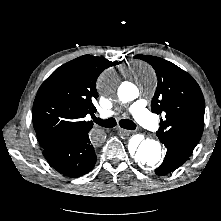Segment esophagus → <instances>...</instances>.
<instances>
[{
    "label": "esophagus",
    "instance_id": "34e87169",
    "mask_svg": "<svg viewBox=\"0 0 221 221\" xmlns=\"http://www.w3.org/2000/svg\"><path fill=\"white\" fill-rule=\"evenodd\" d=\"M119 130H120L122 133L126 134V135L131 134V131H130V130H125V129H122V128H119Z\"/></svg>",
    "mask_w": 221,
    "mask_h": 221
}]
</instances>
